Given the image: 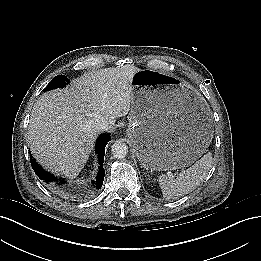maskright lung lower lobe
I'll return each mask as SVG.
<instances>
[{
  "mask_svg": "<svg viewBox=\"0 0 261 261\" xmlns=\"http://www.w3.org/2000/svg\"><path fill=\"white\" fill-rule=\"evenodd\" d=\"M110 140V133L102 134L99 136L96 142V153L98 154L99 157V164H100V170L98 172V175L96 176V181H92V184H95V187L97 189H100L103 180H104V169H103V159H104V154H105V146L107 142ZM31 156V155H30ZM32 168L34 169L35 174L43 180L46 184H48L49 187L61 191L62 193H72L71 191L67 190V188L61 187L65 181L62 179H57L53 174L48 173L45 171L36 161L31 157L30 159ZM75 194H83L79 192H75Z\"/></svg>",
  "mask_w": 261,
  "mask_h": 261,
  "instance_id": "1",
  "label": "right lung lower lobe"
}]
</instances>
